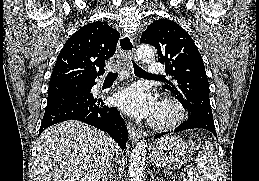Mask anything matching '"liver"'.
Here are the masks:
<instances>
[{
    "label": "liver",
    "instance_id": "liver-1",
    "mask_svg": "<svg viewBox=\"0 0 259 181\" xmlns=\"http://www.w3.org/2000/svg\"><path fill=\"white\" fill-rule=\"evenodd\" d=\"M121 151L106 133L75 120L44 130L37 143L38 181H105Z\"/></svg>",
    "mask_w": 259,
    "mask_h": 181
}]
</instances>
